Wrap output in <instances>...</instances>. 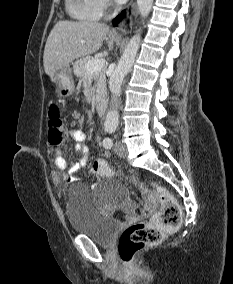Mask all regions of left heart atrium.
Masks as SVG:
<instances>
[{"label": "left heart atrium", "instance_id": "left-heart-atrium-1", "mask_svg": "<svg viewBox=\"0 0 233 284\" xmlns=\"http://www.w3.org/2000/svg\"><path fill=\"white\" fill-rule=\"evenodd\" d=\"M116 1H118V2H125L126 0H116Z\"/></svg>", "mask_w": 233, "mask_h": 284}]
</instances>
